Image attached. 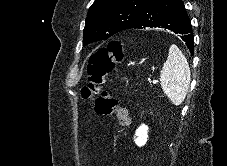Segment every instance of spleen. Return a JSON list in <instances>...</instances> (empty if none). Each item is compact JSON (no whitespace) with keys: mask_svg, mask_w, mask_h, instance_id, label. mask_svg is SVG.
I'll use <instances>...</instances> for the list:
<instances>
[{"mask_svg":"<svg viewBox=\"0 0 227 166\" xmlns=\"http://www.w3.org/2000/svg\"><path fill=\"white\" fill-rule=\"evenodd\" d=\"M190 81L187 59L176 45H171L160 74V82L164 94L172 104L179 106L183 103Z\"/></svg>","mask_w":227,"mask_h":166,"instance_id":"1","label":"spleen"}]
</instances>
